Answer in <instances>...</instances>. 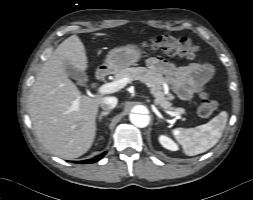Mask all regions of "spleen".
Masks as SVG:
<instances>
[{"instance_id": "3e777b00", "label": "spleen", "mask_w": 253, "mask_h": 200, "mask_svg": "<svg viewBox=\"0 0 253 200\" xmlns=\"http://www.w3.org/2000/svg\"><path fill=\"white\" fill-rule=\"evenodd\" d=\"M227 119V112L222 111L206 124L195 128H176L172 130V134L183 146L185 154L194 156L206 152L218 143Z\"/></svg>"}]
</instances>
